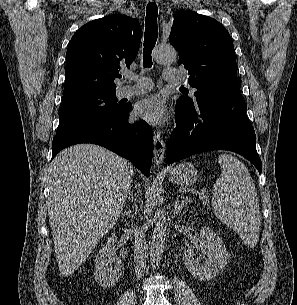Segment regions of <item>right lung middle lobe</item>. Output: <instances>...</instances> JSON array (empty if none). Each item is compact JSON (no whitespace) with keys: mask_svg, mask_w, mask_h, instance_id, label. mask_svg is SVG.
Wrapping results in <instances>:
<instances>
[{"mask_svg":"<svg viewBox=\"0 0 297 305\" xmlns=\"http://www.w3.org/2000/svg\"><path fill=\"white\" fill-rule=\"evenodd\" d=\"M117 101L116 91L91 93L62 101L56 134L89 118L119 115L126 105Z\"/></svg>","mask_w":297,"mask_h":305,"instance_id":"1","label":"right lung middle lobe"}]
</instances>
